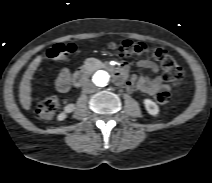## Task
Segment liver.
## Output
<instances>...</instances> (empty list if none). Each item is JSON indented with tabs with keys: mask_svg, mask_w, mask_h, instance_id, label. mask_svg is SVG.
Listing matches in <instances>:
<instances>
[{
	"mask_svg": "<svg viewBox=\"0 0 212 183\" xmlns=\"http://www.w3.org/2000/svg\"><path fill=\"white\" fill-rule=\"evenodd\" d=\"M42 60V56L36 57L32 63L29 65L28 69L23 75L22 81L19 87V98L22 107L25 110H29L31 107V80L33 79V74L37 70L40 62Z\"/></svg>",
	"mask_w": 212,
	"mask_h": 183,
	"instance_id": "6515ba94",
	"label": "liver"
}]
</instances>
